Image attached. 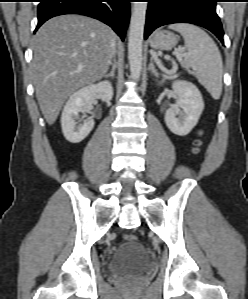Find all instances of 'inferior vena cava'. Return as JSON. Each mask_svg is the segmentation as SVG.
Returning a JSON list of instances; mask_svg holds the SVG:
<instances>
[{"label": "inferior vena cava", "instance_id": "602c4592", "mask_svg": "<svg viewBox=\"0 0 248 299\" xmlns=\"http://www.w3.org/2000/svg\"><path fill=\"white\" fill-rule=\"evenodd\" d=\"M111 48H112L111 50V57H112L115 54V41L111 43Z\"/></svg>", "mask_w": 248, "mask_h": 299}]
</instances>
